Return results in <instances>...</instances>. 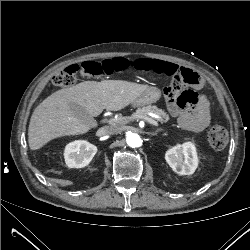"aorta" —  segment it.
Here are the masks:
<instances>
[{"label":"aorta","mask_w":250,"mask_h":250,"mask_svg":"<svg viewBox=\"0 0 250 250\" xmlns=\"http://www.w3.org/2000/svg\"><path fill=\"white\" fill-rule=\"evenodd\" d=\"M141 138L136 133H129L126 137V142L130 147H139L141 145Z\"/></svg>","instance_id":"1"}]
</instances>
